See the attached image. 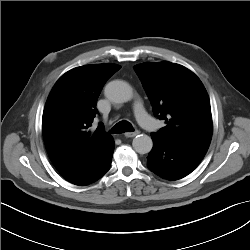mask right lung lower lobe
<instances>
[{"label":"right lung lower lobe","instance_id":"98d812e1","mask_svg":"<svg viewBox=\"0 0 250 250\" xmlns=\"http://www.w3.org/2000/svg\"><path fill=\"white\" fill-rule=\"evenodd\" d=\"M114 152L113 138L93 155L60 174L75 185H88L100 179L110 168Z\"/></svg>","mask_w":250,"mask_h":250}]
</instances>
